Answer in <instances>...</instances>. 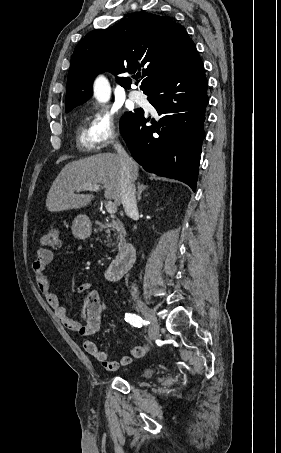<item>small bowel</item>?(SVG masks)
Returning <instances> with one entry per match:
<instances>
[{
  "mask_svg": "<svg viewBox=\"0 0 281 453\" xmlns=\"http://www.w3.org/2000/svg\"><path fill=\"white\" fill-rule=\"evenodd\" d=\"M52 259V252L48 249L43 247L35 249L32 270L37 287L61 323L82 337L90 336L101 328V318L106 304L91 283H81L77 286L74 293L84 295V298L79 307L80 318H74L67 308L60 304L57 295L52 291L50 280L47 277V268ZM148 347L147 344L134 346L120 358L110 359L107 352L93 341L86 340L83 342L84 350L108 371H114L121 366L129 364L134 356H142Z\"/></svg>",
  "mask_w": 281,
  "mask_h": 453,
  "instance_id": "c3829d8e",
  "label": "small bowel"
}]
</instances>
